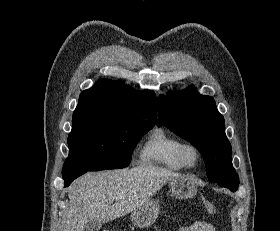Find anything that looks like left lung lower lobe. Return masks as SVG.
I'll use <instances>...</instances> for the list:
<instances>
[{"mask_svg":"<svg viewBox=\"0 0 280 231\" xmlns=\"http://www.w3.org/2000/svg\"><path fill=\"white\" fill-rule=\"evenodd\" d=\"M220 186L230 189L232 192H235L239 185L238 175L230 177L224 181L217 182Z\"/></svg>","mask_w":280,"mask_h":231,"instance_id":"1","label":"left lung lower lobe"}]
</instances>
